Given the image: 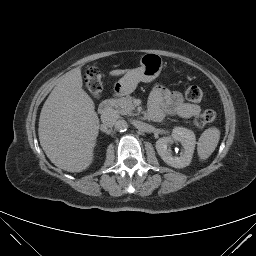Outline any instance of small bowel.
<instances>
[{
  "label": "small bowel",
  "mask_w": 256,
  "mask_h": 256,
  "mask_svg": "<svg viewBox=\"0 0 256 256\" xmlns=\"http://www.w3.org/2000/svg\"><path fill=\"white\" fill-rule=\"evenodd\" d=\"M200 111L199 105L186 102L180 92L161 85H156L150 94L149 115L156 122H164L168 116L191 118Z\"/></svg>",
  "instance_id": "obj_1"
}]
</instances>
